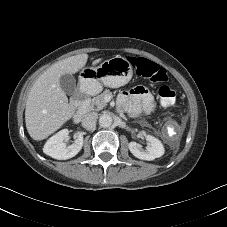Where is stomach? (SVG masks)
<instances>
[{
    "mask_svg": "<svg viewBox=\"0 0 227 227\" xmlns=\"http://www.w3.org/2000/svg\"><path fill=\"white\" fill-rule=\"evenodd\" d=\"M130 62L121 56L103 61L99 66L85 67L80 72V82L89 94L98 93L102 85L118 88L126 85L132 78Z\"/></svg>",
    "mask_w": 227,
    "mask_h": 227,
    "instance_id": "0dacf381",
    "label": "stomach"
}]
</instances>
